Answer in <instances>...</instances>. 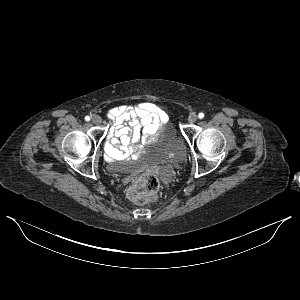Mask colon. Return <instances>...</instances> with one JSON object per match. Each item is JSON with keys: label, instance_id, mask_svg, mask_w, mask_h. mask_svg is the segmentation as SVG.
<instances>
[{"label": "colon", "instance_id": "5ec220e1", "mask_svg": "<svg viewBox=\"0 0 300 300\" xmlns=\"http://www.w3.org/2000/svg\"><path fill=\"white\" fill-rule=\"evenodd\" d=\"M160 190L159 179L151 173H144L128 188V198L136 204H146L156 200Z\"/></svg>", "mask_w": 300, "mask_h": 300}]
</instances>
